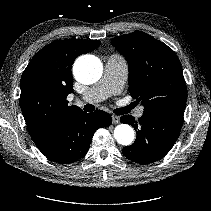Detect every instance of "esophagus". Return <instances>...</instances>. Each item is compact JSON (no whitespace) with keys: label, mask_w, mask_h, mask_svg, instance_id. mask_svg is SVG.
I'll return each mask as SVG.
<instances>
[{"label":"esophagus","mask_w":211,"mask_h":211,"mask_svg":"<svg viewBox=\"0 0 211 211\" xmlns=\"http://www.w3.org/2000/svg\"><path fill=\"white\" fill-rule=\"evenodd\" d=\"M120 122V118L116 115L112 116V123L113 124H118Z\"/></svg>","instance_id":"34e87169"}]
</instances>
